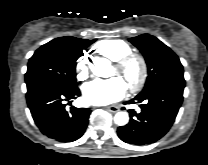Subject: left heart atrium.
I'll use <instances>...</instances> for the list:
<instances>
[{"mask_svg": "<svg viewBox=\"0 0 208 165\" xmlns=\"http://www.w3.org/2000/svg\"><path fill=\"white\" fill-rule=\"evenodd\" d=\"M126 91L124 82L117 76L109 79H96L83 88L84 99L88 104L104 106L120 100Z\"/></svg>", "mask_w": 208, "mask_h": 165, "instance_id": "1", "label": "left heart atrium"}]
</instances>
